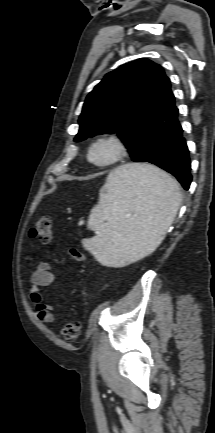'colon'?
Returning a JSON list of instances; mask_svg holds the SVG:
<instances>
[{
  "mask_svg": "<svg viewBox=\"0 0 215 433\" xmlns=\"http://www.w3.org/2000/svg\"><path fill=\"white\" fill-rule=\"evenodd\" d=\"M30 236L38 239L42 244L47 245L52 239V220L48 216L39 218L30 229ZM70 257L76 261L83 260L82 254L77 249H70ZM80 324L78 322H68L63 325L62 334L66 339H76L80 334Z\"/></svg>",
  "mask_w": 215,
  "mask_h": 433,
  "instance_id": "1",
  "label": "colon"
}]
</instances>
